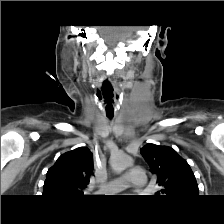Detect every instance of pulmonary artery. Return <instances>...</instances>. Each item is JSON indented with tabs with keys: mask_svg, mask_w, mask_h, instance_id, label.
<instances>
[{
	"mask_svg": "<svg viewBox=\"0 0 224 224\" xmlns=\"http://www.w3.org/2000/svg\"><path fill=\"white\" fill-rule=\"evenodd\" d=\"M145 188L147 186V176L140 168H131L125 175L110 179L99 191L105 193H116L127 187Z\"/></svg>",
	"mask_w": 224,
	"mask_h": 224,
	"instance_id": "1",
	"label": "pulmonary artery"
}]
</instances>
